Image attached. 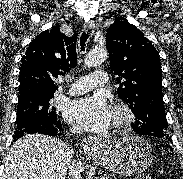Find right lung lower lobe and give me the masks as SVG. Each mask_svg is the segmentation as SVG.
I'll use <instances>...</instances> for the list:
<instances>
[{
    "label": "right lung lower lobe",
    "instance_id": "obj_1",
    "mask_svg": "<svg viewBox=\"0 0 183 179\" xmlns=\"http://www.w3.org/2000/svg\"><path fill=\"white\" fill-rule=\"evenodd\" d=\"M62 125L59 120H57L53 124H42V125H36V126H30L27 128H24L20 131H18L17 134H14V141L21 138L25 134H33V133H40L50 136H57L59 133V130H61Z\"/></svg>",
    "mask_w": 183,
    "mask_h": 179
}]
</instances>
